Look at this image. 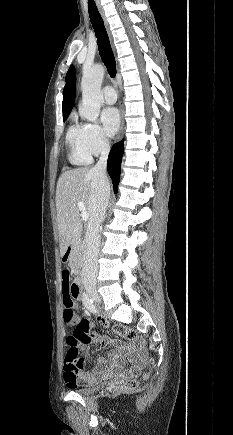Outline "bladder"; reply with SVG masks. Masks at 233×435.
<instances>
[{
  "label": "bladder",
  "mask_w": 233,
  "mask_h": 435,
  "mask_svg": "<svg viewBox=\"0 0 233 435\" xmlns=\"http://www.w3.org/2000/svg\"><path fill=\"white\" fill-rule=\"evenodd\" d=\"M102 387V385L100 384H84L81 385L79 387H76L73 389L74 392L82 394V395H87V394H92L95 393L97 391L100 390V388Z\"/></svg>",
  "instance_id": "1"
}]
</instances>
